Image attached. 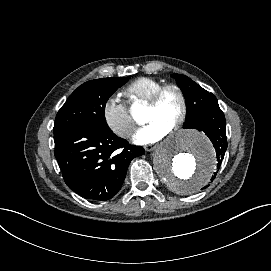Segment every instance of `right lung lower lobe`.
Segmentation results:
<instances>
[{"label":"right lung lower lobe","mask_w":271,"mask_h":271,"mask_svg":"<svg viewBox=\"0 0 271 271\" xmlns=\"http://www.w3.org/2000/svg\"><path fill=\"white\" fill-rule=\"evenodd\" d=\"M54 141L65 183L91 201L113 198L121 189L131 160L144 153L143 147L130 145L108 128L72 126L55 133Z\"/></svg>","instance_id":"right-lung-lower-lobe-1"}]
</instances>
